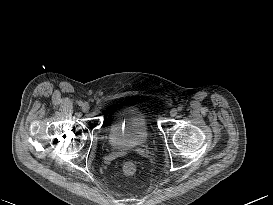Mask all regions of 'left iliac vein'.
<instances>
[{"mask_svg": "<svg viewBox=\"0 0 273 205\" xmlns=\"http://www.w3.org/2000/svg\"><path fill=\"white\" fill-rule=\"evenodd\" d=\"M177 113H178V111H177V109H175V108L171 109V111H170V115H171L172 117H175V116L177 115Z\"/></svg>", "mask_w": 273, "mask_h": 205, "instance_id": "1", "label": "left iliac vein"}]
</instances>
